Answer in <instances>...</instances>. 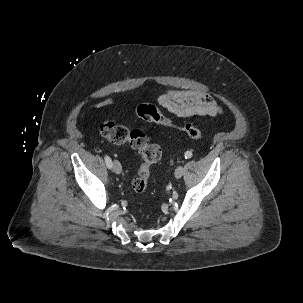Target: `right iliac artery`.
I'll return each instance as SVG.
<instances>
[{
    "instance_id": "right-iliac-artery-1",
    "label": "right iliac artery",
    "mask_w": 303,
    "mask_h": 303,
    "mask_svg": "<svg viewBox=\"0 0 303 303\" xmlns=\"http://www.w3.org/2000/svg\"><path fill=\"white\" fill-rule=\"evenodd\" d=\"M104 159H105V163H106V165H107V167L109 168V169H111L112 168V160H111V158L109 157V156H105L104 157Z\"/></svg>"
}]
</instances>
